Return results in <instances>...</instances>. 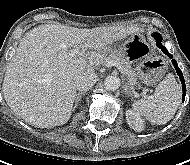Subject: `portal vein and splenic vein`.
Wrapping results in <instances>:
<instances>
[{
    "mask_svg": "<svg viewBox=\"0 0 190 165\" xmlns=\"http://www.w3.org/2000/svg\"><path fill=\"white\" fill-rule=\"evenodd\" d=\"M79 53H80V52H79L78 49H72V50L70 51V55H71V56L77 55V54H79ZM107 66H115V67H117V68L119 69V71H121V73H123V74H125V75L128 76V74L124 71L123 67L120 66V64L117 63V62H115V61H110V62H108V63H107Z\"/></svg>",
    "mask_w": 190,
    "mask_h": 165,
    "instance_id": "1",
    "label": "portal vein and splenic vein"
}]
</instances>
